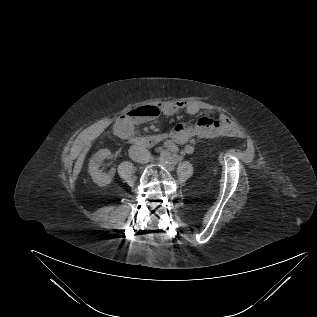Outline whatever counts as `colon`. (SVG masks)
<instances>
[{"instance_id":"colon-1","label":"colon","mask_w":317,"mask_h":317,"mask_svg":"<svg viewBox=\"0 0 317 317\" xmlns=\"http://www.w3.org/2000/svg\"><path fill=\"white\" fill-rule=\"evenodd\" d=\"M160 114V108L154 104L143 105L129 112V115L135 119L155 118Z\"/></svg>"}]
</instances>
